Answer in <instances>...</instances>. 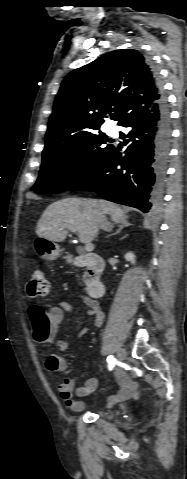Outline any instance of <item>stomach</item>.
<instances>
[{"label":"stomach","mask_w":187,"mask_h":479,"mask_svg":"<svg viewBox=\"0 0 187 479\" xmlns=\"http://www.w3.org/2000/svg\"><path fill=\"white\" fill-rule=\"evenodd\" d=\"M36 253L46 261L55 260L60 255V247L53 241L44 237L38 236L33 242Z\"/></svg>","instance_id":"0dacf381"}]
</instances>
